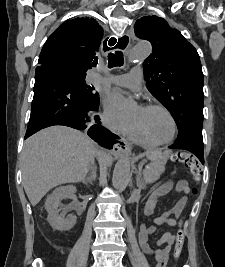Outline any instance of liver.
<instances>
[{"label":"liver","mask_w":225,"mask_h":267,"mask_svg":"<svg viewBox=\"0 0 225 267\" xmlns=\"http://www.w3.org/2000/svg\"><path fill=\"white\" fill-rule=\"evenodd\" d=\"M96 153L93 140L65 126H52L28 138L22 151V181L31 205L58 185L83 181Z\"/></svg>","instance_id":"obj_1"}]
</instances>
